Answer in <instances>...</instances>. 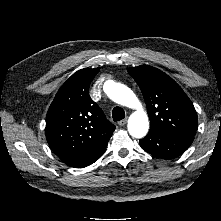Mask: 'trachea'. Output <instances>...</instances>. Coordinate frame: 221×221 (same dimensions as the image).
Wrapping results in <instances>:
<instances>
[{
    "label": "trachea",
    "instance_id": "obj_1",
    "mask_svg": "<svg viewBox=\"0 0 221 221\" xmlns=\"http://www.w3.org/2000/svg\"><path fill=\"white\" fill-rule=\"evenodd\" d=\"M112 117L114 121H120L124 119L125 117V112L121 107H114L112 111Z\"/></svg>",
    "mask_w": 221,
    "mask_h": 221
}]
</instances>
